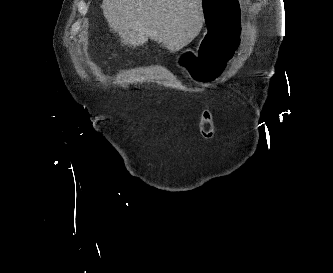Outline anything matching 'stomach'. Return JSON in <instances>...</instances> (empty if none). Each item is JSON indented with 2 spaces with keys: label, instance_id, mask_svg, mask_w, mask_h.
Wrapping results in <instances>:
<instances>
[{
  "label": "stomach",
  "instance_id": "stomach-1",
  "mask_svg": "<svg viewBox=\"0 0 333 273\" xmlns=\"http://www.w3.org/2000/svg\"><path fill=\"white\" fill-rule=\"evenodd\" d=\"M243 0H199L202 4L204 22L210 31L199 44L198 52L185 51L179 54L177 66L188 75L190 81L209 85L220 75H229L230 56H239L242 46L239 39L242 23L247 14Z\"/></svg>",
  "mask_w": 333,
  "mask_h": 273
}]
</instances>
